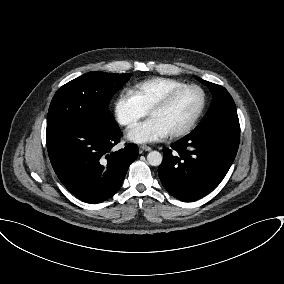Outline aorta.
<instances>
[{"label":"aorta","instance_id":"aorta-1","mask_svg":"<svg viewBox=\"0 0 284 284\" xmlns=\"http://www.w3.org/2000/svg\"><path fill=\"white\" fill-rule=\"evenodd\" d=\"M163 156L158 151H151L147 155V161L152 166H159L162 163Z\"/></svg>","mask_w":284,"mask_h":284}]
</instances>
